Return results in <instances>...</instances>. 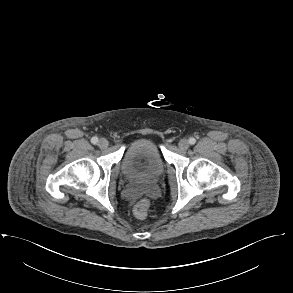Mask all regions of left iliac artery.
Returning <instances> with one entry per match:
<instances>
[{
    "label": "left iliac artery",
    "mask_w": 293,
    "mask_h": 293,
    "mask_svg": "<svg viewBox=\"0 0 293 293\" xmlns=\"http://www.w3.org/2000/svg\"><path fill=\"white\" fill-rule=\"evenodd\" d=\"M195 142H196V139L195 138H193V137L189 138V143L191 145L195 144Z\"/></svg>",
    "instance_id": "44dca946"
}]
</instances>
